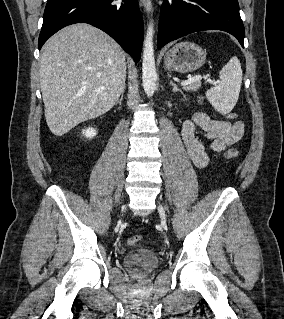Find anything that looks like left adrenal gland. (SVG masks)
Returning <instances> with one entry per match:
<instances>
[{
	"label": "left adrenal gland",
	"instance_id": "obj_1",
	"mask_svg": "<svg viewBox=\"0 0 284 319\" xmlns=\"http://www.w3.org/2000/svg\"><path fill=\"white\" fill-rule=\"evenodd\" d=\"M170 85H172V87H173V90H172L173 92L179 91L183 95V97L185 98V94L183 93V91L181 89H179L177 87V85L172 80H170Z\"/></svg>",
	"mask_w": 284,
	"mask_h": 319
}]
</instances>
